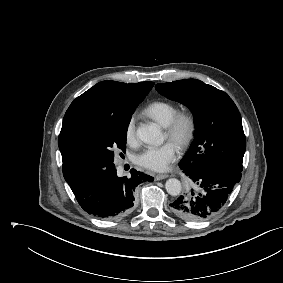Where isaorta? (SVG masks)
I'll return each mask as SVG.
<instances>
[{
    "mask_svg": "<svg viewBox=\"0 0 283 283\" xmlns=\"http://www.w3.org/2000/svg\"><path fill=\"white\" fill-rule=\"evenodd\" d=\"M137 136L141 141L150 145H161L164 141L160 127L156 124H147L138 127ZM165 188L168 194L177 196L181 193L182 185L178 179L171 178L166 181Z\"/></svg>",
    "mask_w": 283,
    "mask_h": 283,
    "instance_id": "1",
    "label": "aorta"
}]
</instances>
